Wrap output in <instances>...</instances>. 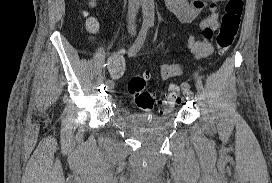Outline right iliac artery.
I'll use <instances>...</instances> for the list:
<instances>
[{
  "label": "right iliac artery",
  "mask_w": 272,
  "mask_h": 183,
  "mask_svg": "<svg viewBox=\"0 0 272 183\" xmlns=\"http://www.w3.org/2000/svg\"><path fill=\"white\" fill-rule=\"evenodd\" d=\"M148 29H149L148 24H143L142 25V28H141L135 42L133 43V45L130 47V49L128 51V56L129 57H132V56L136 55V53L140 50V48L142 47V45H143V43L145 41ZM110 81L111 80H107V82H110Z\"/></svg>",
  "instance_id": "1"
}]
</instances>
